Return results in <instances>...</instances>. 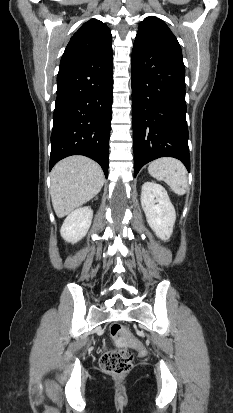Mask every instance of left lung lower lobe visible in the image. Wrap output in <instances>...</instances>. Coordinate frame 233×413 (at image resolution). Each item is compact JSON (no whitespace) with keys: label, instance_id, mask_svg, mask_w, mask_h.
<instances>
[{"label":"left lung lower lobe","instance_id":"left-lung-lower-lobe-1","mask_svg":"<svg viewBox=\"0 0 233 413\" xmlns=\"http://www.w3.org/2000/svg\"><path fill=\"white\" fill-rule=\"evenodd\" d=\"M131 67L134 177L146 163L166 156L190 171L182 54L134 43Z\"/></svg>","mask_w":233,"mask_h":413}]
</instances>
